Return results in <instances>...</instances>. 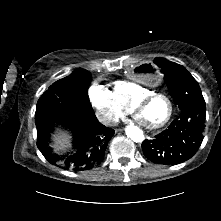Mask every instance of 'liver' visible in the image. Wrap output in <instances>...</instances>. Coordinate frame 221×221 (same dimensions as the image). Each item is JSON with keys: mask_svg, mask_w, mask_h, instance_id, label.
<instances>
[{"mask_svg": "<svg viewBox=\"0 0 221 221\" xmlns=\"http://www.w3.org/2000/svg\"><path fill=\"white\" fill-rule=\"evenodd\" d=\"M54 140H55V145H54L55 150H63L69 146V140L65 134L55 136Z\"/></svg>", "mask_w": 221, "mask_h": 221, "instance_id": "6515ba94", "label": "liver"}]
</instances>
